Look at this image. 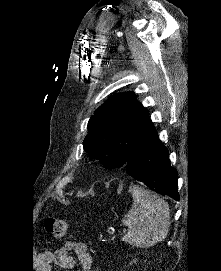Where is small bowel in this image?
I'll list each match as a JSON object with an SVG mask.
<instances>
[{
	"label": "small bowel",
	"instance_id": "small-bowel-1",
	"mask_svg": "<svg viewBox=\"0 0 221 271\" xmlns=\"http://www.w3.org/2000/svg\"><path fill=\"white\" fill-rule=\"evenodd\" d=\"M73 255L77 257L81 271L92 270L93 258L86 244L80 241H69L60 248L39 255L40 271H51L52 264L60 268L72 269L75 266Z\"/></svg>",
	"mask_w": 221,
	"mask_h": 271
}]
</instances>
